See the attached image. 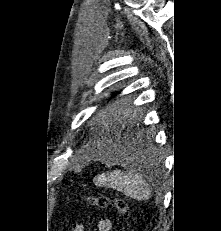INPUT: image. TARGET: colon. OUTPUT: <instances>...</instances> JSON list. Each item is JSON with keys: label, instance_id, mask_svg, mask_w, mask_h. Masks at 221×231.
Here are the masks:
<instances>
[{"label": "colon", "instance_id": "obj_1", "mask_svg": "<svg viewBox=\"0 0 221 231\" xmlns=\"http://www.w3.org/2000/svg\"><path fill=\"white\" fill-rule=\"evenodd\" d=\"M85 200L89 205L93 207L108 208L109 206H113L123 217H125L128 212V206L126 202L121 198H112L106 195H100L86 196Z\"/></svg>", "mask_w": 221, "mask_h": 231}]
</instances>
